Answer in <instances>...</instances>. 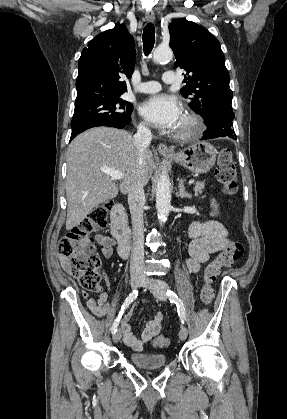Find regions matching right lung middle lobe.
<instances>
[{
	"mask_svg": "<svg viewBox=\"0 0 287 419\" xmlns=\"http://www.w3.org/2000/svg\"><path fill=\"white\" fill-rule=\"evenodd\" d=\"M132 110V104L120 97L102 99L76 107L71 121L72 134L98 122L129 124Z\"/></svg>",
	"mask_w": 287,
	"mask_h": 419,
	"instance_id": "right-lung-middle-lobe-1",
	"label": "right lung middle lobe"
}]
</instances>
